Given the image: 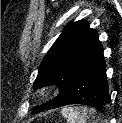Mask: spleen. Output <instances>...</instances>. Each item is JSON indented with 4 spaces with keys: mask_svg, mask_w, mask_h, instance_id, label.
Returning a JSON list of instances; mask_svg holds the SVG:
<instances>
[{
    "mask_svg": "<svg viewBox=\"0 0 122 123\" xmlns=\"http://www.w3.org/2000/svg\"><path fill=\"white\" fill-rule=\"evenodd\" d=\"M61 114L67 118V123H87L89 119L97 123L98 118L96 111L87 107H66L61 110Z\"/></svg>",
    "mask_w": 122,
    "mask_h": 123,
    "instance_id": "3e777b00",
    "label": "spleen"
}]
</instances>
